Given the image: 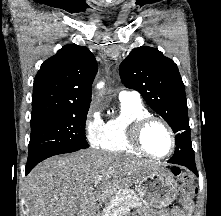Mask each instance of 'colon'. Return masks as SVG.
<instances>
[{"instance_id":"5ec220e1","label":"colon","mask_w":221,"mask_h":216,"mask_svg":"<svg viewBox=\"0 0 221 216\" xmlns=\"http://www.w3.org/2000/svg\"><path fill=\"white\" fill-rule=\"evenodd\" d=\"M177 175L179 180L181 181V194H182V202L183 204L191 203V196H192V187H191V180L185 170H178Z\"/></svg>"}]
</instances>
